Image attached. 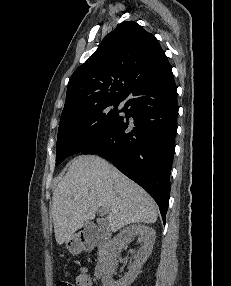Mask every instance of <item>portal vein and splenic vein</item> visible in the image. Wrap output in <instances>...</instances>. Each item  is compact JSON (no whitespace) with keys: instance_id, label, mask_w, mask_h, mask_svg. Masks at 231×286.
<instances>
[{"instance_id":"1","label":"portal vein and splenic vein","mask_w":231,"mask_h":286,"mask_svg":"<svg viewBox=\"0 0 231 286\" xmlns=\"http://www.w3.org/2000/svg\"><path fill=\"white\" fill-rule=\"evenodd\" d=\"M100 215H105L107 213V211L104 208H101L99 210Z\"/></svg>"}]
</instances>
